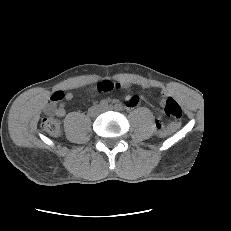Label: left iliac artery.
Returning <instances> with one entry per match:
<instances>
[{
  "label": "left iliac artery",
  "mask_w": 231,
  "mask_h": 231,
  "mask_svg": "<svg viewBox=\"0 0 231 231\" xmlns=\"http://www.w3.org/2000/svg\"><path fill=\"white\" fill-rule=\"evenodd\" d=\"M123 108H124V107H123V105H122L121 103H116V104H115V109H116V110H119V111H120V110H123Z\"/></svg>",
  "instance_id": "44dca946"
}]
</instances>
